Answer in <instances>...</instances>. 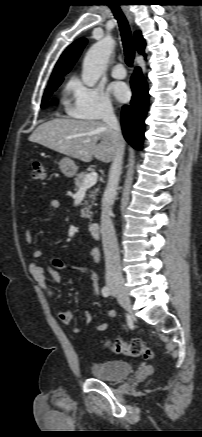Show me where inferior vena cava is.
Listing matches in <instances>:
<instances>
[{"label": "inferior vena cava", "instance_id": "602c4592", "mask_svg": "<svg viewBox=\"0 0 202 437\" xmlns=\"http://www.w3.org/2000/svg\"><path fill=\"white\" fill-rule=\"evenodd\" d=\"M102 119L111 130L115 146V157L110 166L108 183L102 199L101 212V235L106 267L105 277L107 283H118L122 282L123 278L121 273L119 248L111 219L110 206L114 203L117 195V187L122 172L124 142L120 125L112 107H108L104 110Z\"/></svg>", "mask_w": 202, "mask_h": 437}]
</instances>
